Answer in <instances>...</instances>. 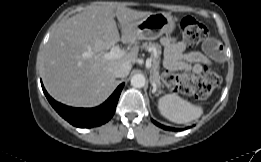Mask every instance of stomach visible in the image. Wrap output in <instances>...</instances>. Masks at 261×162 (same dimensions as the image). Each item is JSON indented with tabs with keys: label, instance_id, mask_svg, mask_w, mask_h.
Masks as SVG:
<instances>
[{
	"label": "stomach",
	"instance_id": "0dacf381",
	"mask_svg": "<svg viewBox=\"0 0 261 162\" xmlns=\"http://www.w3.org/2000/svg\"><path fill=\"white\" fill-rule=\"evenodd\" d=\"M138 30V38L143 40H155L163 34H170L175 28L173 17L164 12L152 13L135 23Z\"/></svg>",
	"mask_w": 261,
	"mask_h": 162
}]
</instances>
